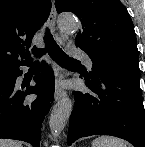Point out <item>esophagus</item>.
Instances as JSON below:
<instances>
[{
  "label": "esophagus",
  "mask_w": 145,
  "mask_h": 147,
  "mask_svg": "<svg viewBox=\"0 0 145 147\" xmlns=\"http://www.w3.org/2000/svg\"><path fill=\"white\" fill-rule=\"evenodd\" d=\"M56 17H57V12H56V8L54 5V2H52V8H51V13L48 19V24L51 27L52 31L55 32L56 30ZM66 91L61 89V88H57L55 95H54V99L55 101L66 97Z\"/></svg>",
  "instance_id": "1"
}]
</instances>
